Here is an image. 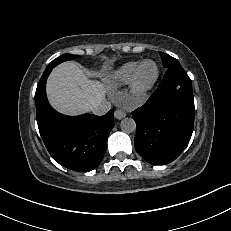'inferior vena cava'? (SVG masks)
<instances>
[{
    "label": "inferior vena cava",
    "instance_id": "602c4592",
    "mask_svg": "<svg viewBox=\"0 0 231 231\" xmlns=\"http://www.w3.org/2000/svg\"><path fill=\"white\" fill-rule=\"evenodd\" d=\"M111 109V104L108 101H103L100 104L91 107V112L95 115H104Z\"/></svg>",
    "mask_w": 231,
    "mask_h": 231
}]
</instances>
